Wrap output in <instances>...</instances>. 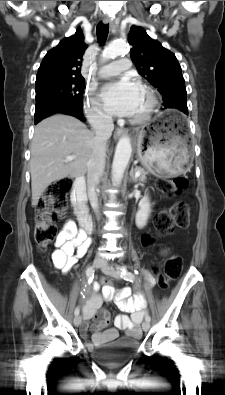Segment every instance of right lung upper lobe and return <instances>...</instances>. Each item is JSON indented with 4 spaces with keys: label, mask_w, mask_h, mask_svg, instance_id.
Instances as JSON below:
<instances>
[{
    "label": "right lung upper lobe",
    "mask_w": 225,
    "mask_h": 395,
    "mask_svg": "<svg viewBox=\"0 0 225 395\" xmlns=\"http://www.w3.org/2000/svg\"><path fill=\"white\" fill-rule=\"evenodd\" d=\"M87 44L78 28L74 35L64 38L47 52L36 78V85L59 80H83L81 75L82 57Z\"/></svg>",
    "instance_id": "cb5924a9"
}]
</instances>
